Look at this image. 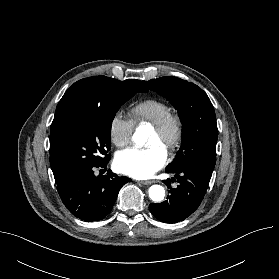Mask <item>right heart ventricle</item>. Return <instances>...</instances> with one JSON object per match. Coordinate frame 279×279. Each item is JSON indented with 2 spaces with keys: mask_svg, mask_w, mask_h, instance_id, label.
<instances>
[{
  "mask_svg": "<svg viewBox=\"0 0 279 279\" xmlns=\"http://www.w3.org/2000/svg\"><path fill=\"white\" fill-rule=\"evenodd\" d=\"M171 111V107L164 101L159 99H146L130 109V114L134 124H150L155 125L167 113Z\"/></svg>",
  "mask_w": 279,
  "mask_h": 279,
  "instance_id": "1",
  "label": "right heart ventricle"
}]
</instances>
